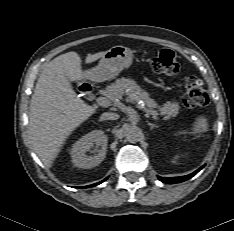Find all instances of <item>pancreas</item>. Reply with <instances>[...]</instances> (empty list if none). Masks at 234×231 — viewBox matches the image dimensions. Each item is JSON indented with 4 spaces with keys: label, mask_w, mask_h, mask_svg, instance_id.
Returning <instances> with one entry per match:
<instances>
[{
    "label": "pancreas",
    "mask_w": 234,
    "mask_h": 231,
    "mask_svg": "<svg viewBox=\"0 0 234 231\" xmlns=\"http://www.w3.org/2000/svg\"><path fill=\"white\" fill-rule=\"evenodd\" d=\"M126 89H128L127 93L125 91ZM106 92L110 99H121L123 95L127 94L132 101L142 100L150 110L158 107L157 103L149 97V94L129 78H118L114 83L107 86ZM159 111L161 115L165 116V120L176 117L179 111V104L168 101L159 108Z\"/></svg>",
    "instance_id": "obj_1"
}]
</instances>
